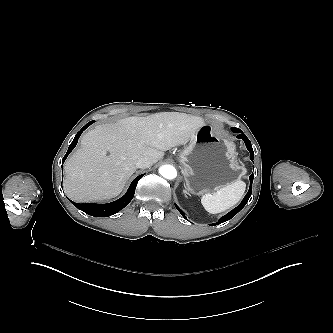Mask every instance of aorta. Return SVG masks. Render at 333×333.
<instances>
[{
	"label": "aorta",
	"mask_w": 333,
	"mask_h": 333,
	"mask_svg": "<svg viewBox=\"0 0 333 333\" xmlns=\"http://www.w3.org/2000/svg\"><path fill=\"white\" fill-rule=\"evenodd\" d=\"M159 173L166 179H174L177 176V171L172 165H163L159 168Z\"/></svg>",
	"instance_id": "obj_1"
}]
</instances>
